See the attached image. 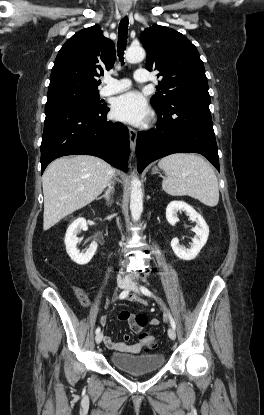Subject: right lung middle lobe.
I'll return each instance as SVG.
<instances>
[{
	"instance_id": "dd1d6c3e",
	"label": "right lung middle lobe",
	"mask_w": 264,
	"mask_h": 415,
	"mask_svg": "<svg viewBox=\"0 0 264 415\" xmlns=\"http://www.w3.org/2000/svg\"><path fill=\"white\" fill-rule=\"evenodd\" d=\"M99 100V93H66L52 98H48L45 112L78 108L85 110H98L102 108Z\"/></svg>"
}]
</instances>
